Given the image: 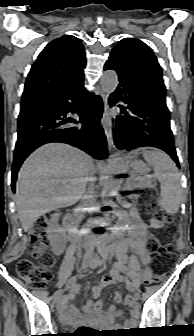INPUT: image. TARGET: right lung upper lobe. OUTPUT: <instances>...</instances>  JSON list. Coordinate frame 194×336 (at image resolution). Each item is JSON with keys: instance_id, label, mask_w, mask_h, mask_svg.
Masks as SVG:
<instances>
[{"instance_id": "1", "label": "right lung upper lobe", "mask_w": 194, "mask_h": 336, "mask_svg": "<svg viewBox=\"0 0 194 336\" xmlns=\"http://www.w3.org/2000/svg\"><path fill=\"white\" fill-rule=\"evenodd\" d=\"M86 56L80 40L65 35L49 43L27 77L21 105L53 95L84 76Z\"/></svg>"}]
</instances>
